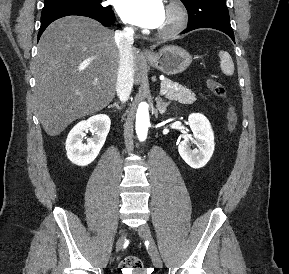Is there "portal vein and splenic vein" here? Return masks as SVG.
<instances>
[{
    "mask_svg": "<svg viewBox=\"0 0 289 274\" xmlns=\"http://www.w3.org/2000/svg\"><path fill=\"white\" fill-rule=\"evenodd\" d=\"M166 93H167L166 90H162V89H161V91H160V94H161V95H165Z\"/></svg>",
    "mask_w": 289,
    "mask_h": 274,
    "instance_id": "1",
    "label": "portal vein and splenic vein"
}]
</instances>
